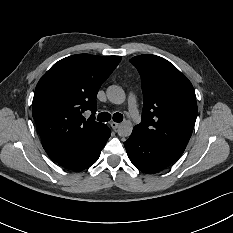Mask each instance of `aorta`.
<instances>
[{"mask_svg": "<svg viewBox=\"0 0 233 233\" xmlns=\"http://www.w3.org/2000/svg\"><path fill=\"white\" fill-rule=\"evenodd\" d=\"M106 95L108 100L114 104H122L125 101L126 95L120 86L111 85L107 88ZM133 125L130 121L124 120L119 124L117 130L119 136L128 137L131 135Z\"/></svg>", "mask_w": 233, "mask_h": 233, "instance_id": "obj_1", "label": "aorta"}]
</instances>
